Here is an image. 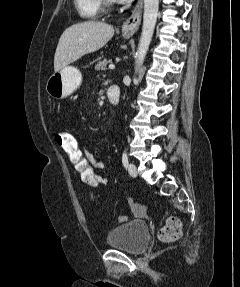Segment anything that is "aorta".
I'll list each match as a JSON object with an SVG mask.
<instances>
[{
    "label": "aorta",
    "mask_w": 240,
    "mask_h": 287,
    "mask_svg": "<svg viewBox=\"0 0 240 287\" xmlns=\"http://www.w3.org/2000/svg\"><path fill=\"white\" fill-rule=\"evenodd\" d=\"M159 8V0H144V14H143V26L142 33L136 52V67L135 73L138 72V68L144 62L149 45L152 40L155 25L157 22Z\"/></svg>",
    "instance_id": "aorta-1"
}]
</instances>
